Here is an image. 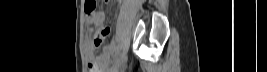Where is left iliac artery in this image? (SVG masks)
Masks as SVG:
<instances>
[{
	"label": "left iliac artery",
	"mask_w": 267,
	"mask_h": 72,
	"mask_svg": "<svg viewBox=\"0 0 267 72\" xmlns=\"http://www.w3.org/2000/svg\"><path fill=\"white\" fill-rule=\"evenodd\" d=\"M120 58H121V50L120 48L118 49V53L115 57V60H114V63H113V67L117 66L119 61H120Z\"/></svg>",
	"instance_id": "left-iliac-artery-1"
}]
</instances>
